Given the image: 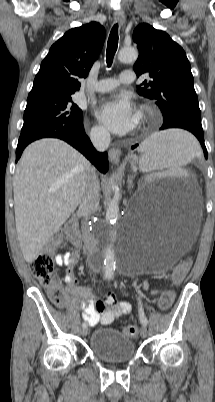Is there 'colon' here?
<instances>
[{
    "label": "colon",
    "mask_w": 215,
    "mask_h": 402,
    "mask_svg": "<svg viewBox=\"0 0 215 402\" xmlns=\"http://www.w3.org/2000/svg\"><path fill=\"white\" fill-rule=\"evenodd\" d=\"M61 244V237L55 236L45 246L44 251L37 255L30 262V269L32 274L38 279V281L48 289L49 296L52 302L62 307L65 304L66 298L64 291L56 279V272L54 269L53 251ZM190 266L188 260L180 263L172 273L174 282H180L185 276ZM174 301L173 291H164L159 299L158 305L161 309L167 310L171 307ZM125 335L130 338H134L138 335V327L135 325H128L124 328Z\"/></svg>",
    "instance_id": "1"
}]
</instances>
